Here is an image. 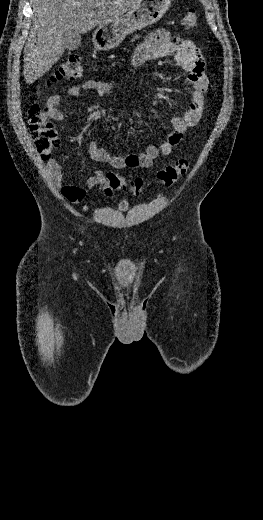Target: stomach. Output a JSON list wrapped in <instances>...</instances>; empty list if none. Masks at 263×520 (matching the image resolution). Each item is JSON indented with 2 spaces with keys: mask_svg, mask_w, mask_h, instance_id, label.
I'll return each mask as SVG.
<instances>
[{
  "mask_svg": "<svg viewBox=\"0 0 263 520\" xmlns=\"http://www.w3.org/2000/svg\"><path fill=\"white\" fill-rule=\"evenodd\" d=\"M172 0H141L124 16L100 24L93 34V43L99 50L117 47L123 39L159 21L169 9Z\"/></svg>",
  "mask_w": 263,
  "mask_h": 520,
  "instance_id": "0dacf381",
  "label": "stomach"
}]
</instances>
